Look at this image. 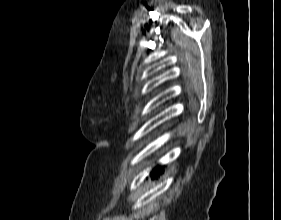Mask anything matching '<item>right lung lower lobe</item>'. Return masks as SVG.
<instances>
[{"label":"right lung lower lobe","instance_id":"1","mask_svg":"<svg viewBox=\"0 0 281 220\" xmlns=\"http://www.w3.org/2000/svg\"><path fill=\"white\" fill-rule=\"evenodd\" d=\"M163 172V169L162 167H156L153 171H152V175L153 176H157L158 174L162 173Z\"/></svg>","mask_w":281,"mask_h":220}]
</instances>
